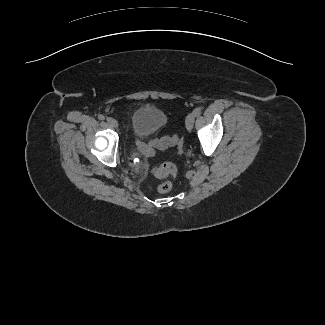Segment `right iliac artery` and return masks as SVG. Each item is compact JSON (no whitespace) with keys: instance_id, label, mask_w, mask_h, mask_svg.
I'll use <instances>...</instances> for the list:
<instances>
[{"instance_id":"1","label":"right iliac artery","mask_w":325,"mask_h":325,"mask_svg":"<svg viewBox=\"0 0 325 325\" xmlns=\"http://www.w3.org/2000/svg\"><path fill=\"white\" fill-rule=\"evenodd\" d=\"M98 119H99V120H104L105 117H104V115L100 114V115H98Z\"/></svg>"}]
</instances>
